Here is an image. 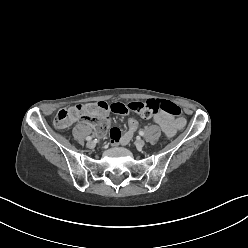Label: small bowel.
<instances>
[{
  "instance_id": "1",
  "label": "small bowel",
  "mask_w": 248,
  "mask_h": 248,
  "mask_svg": "<svg viewBox=\"0 0 248 248\" xmlns=\"http://www.w3.org/2000/svg\"><path fill=\"white\" fill-rule=\"evenodd\" d=\"M136 120V119H135ZM137 121V120H136ZM153 121L162 129L167 137H173L178 131H180L185 125V119L183 117H172L167 113H159L153 116ZM138 122V121H137ZM139 123V122H138ZM120 133L117 127H114L110 131V140L112 145H125L127 144L136 132L129 131Z\"/></svg>"
}]
</instances>
